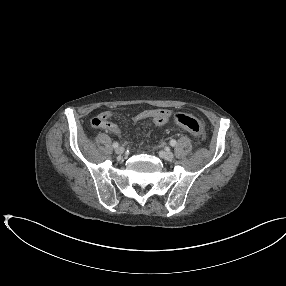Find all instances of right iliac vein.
<instances>
[{
  "label": "right iliac vein",
  "mask_w": 286,
  "mask_h": 286,
  "mask_svg": "<svg viewBox=\"0 0 286 286\" xmlns=\"http://www.w3.org/2000/svg\"><path fill=\"white\" fill-rule=\"evenodd\" d=\"M115 151L118 155H122L124 153V148L123 147H117Z\"/></svg>",
  "instance_id": "obj_1"
}]
</instances>
